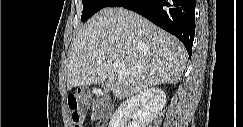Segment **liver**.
<instances>
[{
  "label": "liver",
  "instance_id": "1",
  "mask_svg": "<svg viewBox=\"0 0 243 127\" xmlns=\"http://www.w3.org/2000/svg\"><path fill=\"white\" fill-rule=\"evenodd\" d=\"M114 63L132 73H117ZM186 63V49L176 37L130 10L107 7L71 43L67 90L107 81V91L128 98L158 84L177 83Z\"/></svg>",
  "mask_w": 243,
  "mask_h": 127
}]
</instances>
